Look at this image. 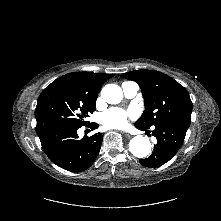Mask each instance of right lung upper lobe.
Instances as JSON below:
<instances>
[{
    "instance_id": "1",
    "label": "right lung upper lobe",
    "mask_w": 221,
    "mask_h": 221,
    "mask_svg": "<svg viewBox=\"0 0 221 221\" xmlns=\"http://www.w3.org/2000/svg\"><path fill=\"white\" fill-rule=\"evenodd\" d=\"M113 76L114 74L72 72L56 80L68 81L88 97L96 99L102 84Z\"/></svg>"
}]
</instances>
